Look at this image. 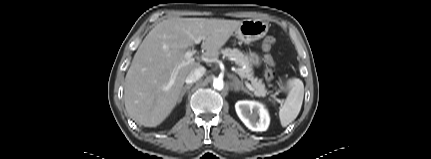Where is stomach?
I'll use <instances>...</instances> for the list:
<instances>
[{"label":"stomach","mask_w":431,"mask_h":159,"mask_svg":"<svg viewBox=\"0 0 431 159\" xmlns=\"http://www.w3.org/2000/svg\"><path fill=\"white\" fill-rule=\"evenodd\" d=\"M268 23L260 19H245L234 31V36L245 44L255 42L266 35L268 32ZM248 60L250 64L260 65V56L255 52H249Z\"/></svg>","instance_id":"1"}]
</instances>
